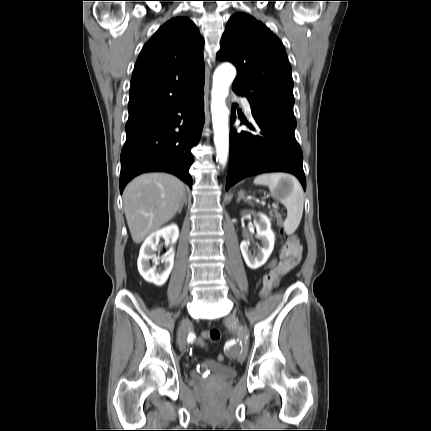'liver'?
Masks as SVG:
<instances>
[{"mask_svg":"<svg viewBox=\"0 0 431 431\" xmlns=\"http://www.w3.org/2000/svg\"><path fill=\"white\" fill-rule=\"evenodd\" d=\"M185 193L184 184L166 173H147L133 179L123 192L127 224L136 244L170 221Z\"/></svg>","mask_w":431,"mask_h":431,"instance_id":"liver-1","label":"liver"}]
</instances>
